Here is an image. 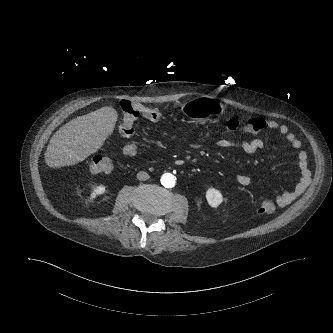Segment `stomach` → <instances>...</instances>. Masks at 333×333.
I'll return each instance as SVG.
<instances>
[{
    "mask_svg": "<svg viewBox=\"0 0 333 333\" xmlns=\"http://www.w3.org/2000/svg\"><path fill=\"white\" fill-rule=\"evenodd\" d=\"M181 110L192 119L204 121L209 116L223 110V105L210 97H197L186 102Z\"/></svg>",
    "mask_w": 333,
    "mask_h": 333,
    "instance_id": "0dacf381",
    "label": "stomach"
}]
</instances>
